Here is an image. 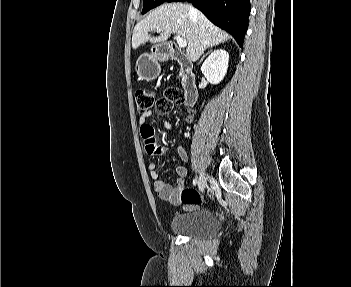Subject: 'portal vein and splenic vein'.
Segmentation results:
<instances>
[{"mask_svg":"<svg viewBox=\"0 0 351 287\" xmlns=\"http://www.w3.org/2000/svg\"><path fill=\"white\" fill-rule=\"evenodd\" d=\"M157 31H161V29H157ZM175 39L180 48H185L187 46V41L184 38L180 37L179 35H176Z\"/></svg>","mask_w":351,"mask_h":287,"instance_id":"portal-vein-and-splenic-vein-1","label":"portal vein and splenic vein"}]
</instances>
